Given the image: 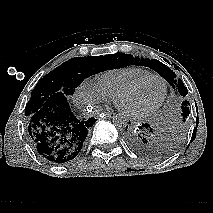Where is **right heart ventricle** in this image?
<instances>
[{"label": "right heart ventricle", "mask_w": 213, "mask_h": 213, "mask_svg": "<svg viewBox=\"0 0 213 213\" xmlns=\"http://www.w3.org/2000/svg\"><path fill=\"white\" fill-rule=\"evenodd\" d=\"M150 73L149 70L136 66L111 69L99 74L95 85L108 99H115L129 84Z\"/></svg>", "instance_id": "right-heart-ventricle-1"}]
</instances>
